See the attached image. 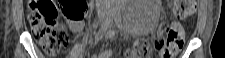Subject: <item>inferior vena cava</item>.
I'll list each match as a JSON object with an SVG mask.
<instances>
[{
    "instance_id": "inferior-vena-cava-1",
    "label": "inferior vena cava",
    "mask_w": 225,
    "mask_h": 58,
    "mask_svg": "<svg viewBox=\"0 0 225 58\" xmlns=\"http://www.w3.org/2000/svg\"><path fill=\"white\" fill-rule=\"evenodd\" d=\"M103 1H99V6H98V14L99 15H105V10L102 7Z\"/></svg>"
}]
</instances>
